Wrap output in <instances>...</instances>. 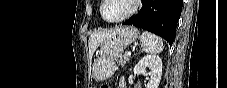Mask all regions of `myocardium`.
I'll return each instance as SVG.
<instances>
[{
  "label": "myocardium",
  "mask_w": 227,
  "mask_h": 88,
  "mask_svg": "<svg viewBox=\"0 0 227 88\" xmlns=\"http://www.w3.org/2000/svg\"><path fill=\"white\" fill-rule=\"evenodd\" d=\"M109 1L110 0H102L101 7H100V15L106 23H120L128 19L136 12L138 4L140 2V0H128L130 3V9L123 16L116 19H108L104 14V8L109 3Z\"/></svg>",
  "instance_id": "1"
}]
</instances>
